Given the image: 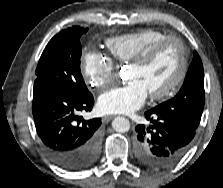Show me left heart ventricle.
Listing matches in <instances>:
<instances>
[{
    "label": "left heart ventricle",
    "instance_id": "obj_1",
    "mask_svg": "<svg viewBox=\"0 0 223 188\" xmlns=\"http://www.w3.org/2000/svg\"><path fill=\"white\" fill-rule=\"evenodd\" d=\"M180 67V50L175 43L166 45L145 66H129L128 81H139L150 94L167 88L176 77Z\"/></svg>",
    "mask_w": 223,
    "mask_h": 188
}]
</instances>
